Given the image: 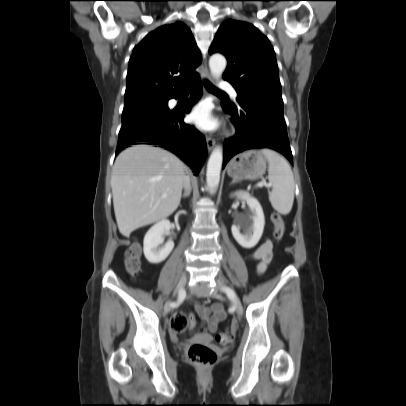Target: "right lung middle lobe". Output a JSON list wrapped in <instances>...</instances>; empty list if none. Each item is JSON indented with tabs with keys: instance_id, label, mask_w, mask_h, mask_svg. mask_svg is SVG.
<instances>
[{
	"instance_id": "1",
	"label": "right lung middle lobe",
	"mask_w": 406,
	"mask_h": 406,
	"mask_svg": "<svg viewBox=\"0 0 406 406\" xmlns=\"http://www.w3.org/2000/svg\"><path fill=\"white\" fill-rule=\"evenodd\" d=\"M167 103L168 99H151L124 106L119 134L161 123L172 113Z\"/></svg>"
}]
</instances>
